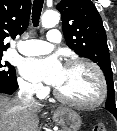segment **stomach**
<instances>
[{
  "mask_svg": "<svg viewBox=\"0 0 117 131\" xmlns=\"http://www.w3.org/2000/svg\"><path fill=\"white\" fill-rule=\"evenodd\" d=\"M54 122L61 127V131H78L81 126V117L70 108H59L54 112Z\"/></svg>",
  "mask_w": 117,
  "mask_h": 131,
  "instance_id": "stomach-1",
  "label": "stomach"
}]
</instances>
